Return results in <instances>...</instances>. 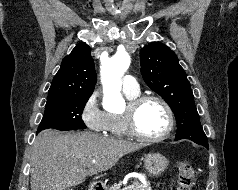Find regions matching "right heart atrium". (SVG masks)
<instances>
[{
  "label": "right heart atrium",
  "mask_w": 238,
  "mask_h": 190,
  "mask_svg": "<svg viewBox=\"0 0 238 190\" xmlns=\"http://www.w3.org/2000/svg\"><path fill=\"white\" fill-rule=\"evenodd\" d=\"M100 92L93 91L81 109V119L92 132L106 133L108 131V113L100 106Z\"/></svg>",
  "instance_id": "right-heart-atrium-1"
}]
</instances>
